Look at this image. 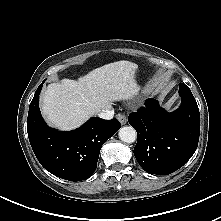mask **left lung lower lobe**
I'll return each instance as SVG.
<instances>
[{
	"instance_id": "0a47b994",
	"label": "left lung lower lobe",
	"mask_w": 221,
	"mask_h": 221,
	"mask_svg": "<svg viewBox=\"0 0 221 221\" xmlns=\"http://www.w3.org/2000/svg\"><path fill=\"white\" fill-rule=\"evenodd\" d=\"M180 107L168 113L155 99L128 117L137 131L134 155L151 174L168 175L181 168L194 154L200 134V114L189 87L179 84Z\"/></svg>"
}]
</instances>
